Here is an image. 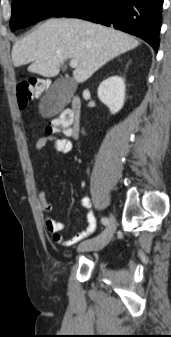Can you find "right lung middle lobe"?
Returning a JSON list of instances; mask_svg holds the SVG:
<instances>
[{
  "instance_id": "dd1d6c3e",
  "label": "right lung middle lobe",
  "mask_w": 171,
  "mask_h": 337,
  "mask_svg": "<svg viewBox=\"0 0 171 337\" xmlns=\"http://www.w3.org/2000/svg\"><path fill=\"white\" fill-rule=\"evenodd\" d=\"M75 0H12V31L53 16Z\"/></svg>"
}]
</instances>
